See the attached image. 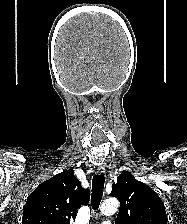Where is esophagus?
<instances>
[{
    "label": "esophagus",
    "mask_w": 187,
    "mask_h": 224,
    "mask_svg": "<svg viewBox=\"0 0 187 224\" xmlns=\"http://www.w3.org/2000/svg\"><path fill=\"white\" fill-rule=\"evenodd\" d=\"M104 172H105V169L102 165L97 167V169H96L97 174H102Z\"/></svg>",
    "instance_id": "1"
}]
</instances>
